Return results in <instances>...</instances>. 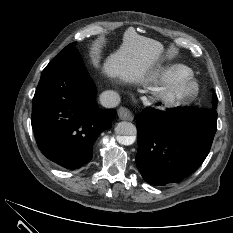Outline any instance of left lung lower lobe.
I'll list each match as a JSON object with an SVG mask.
<instances>
[{"label":"left lung lower lobe","mask_w":233,"mask_h":233,"mask_svg":"<svg viewBox=\"0 0 233 233\" xmlns=\"http://www.w3.org/2000/svg\"><path fill=\"white\" fill-rule=\"evenodd\" d=\"M136 165L151 185L179 182L207 157L217 130L212 109L146 108L137 118Z\"/></svg>","instance_id":"0a47b994"}]
</instances>
